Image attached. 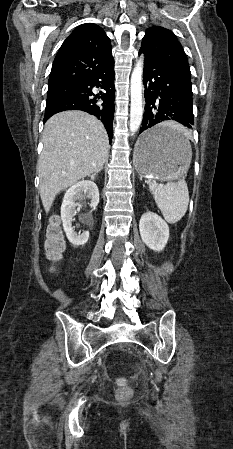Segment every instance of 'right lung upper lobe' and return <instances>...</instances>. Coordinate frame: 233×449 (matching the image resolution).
Returning a JSON list of instances; mask_svg holds the SVG:
<instances>
[{
    "mask_svg": "<svg viewBox=\"0 0 233 449\" xmlns=\"http://www.w3.org/2000/svg\"><path fill=\"white\" fill-rule=\"evenodd\" d=\"M114 62L110 39L92 23L78 26L60 47L49 77L48 90L77 86Z\"/></svg>",
    "mask_w": 233,
    "mask_h": 449,
    "instance_id": "obj_1",
    "label": "right lung upper lobe"
}]
</instances>
